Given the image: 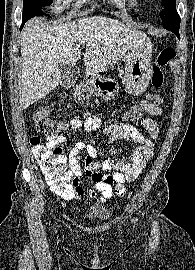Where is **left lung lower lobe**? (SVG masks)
Returning a JSON list of instances; mask_svg holds the SVG:
<instances>
[{
  "instance_id": "1",
  "label": "left lung lower lobe",
  "mask_w": 195,
  "mask_h": 270,
  "mask_svg": "<svg viewBox=\"0 0 195 270\" xmlns=\"http://www.w3.org/2000/svg\"><path fill=\"white\" fill-rule=\"evenodd\" d=\"M174 34L179 38V32H175Z\"/></svg>"
}]
</instances>
